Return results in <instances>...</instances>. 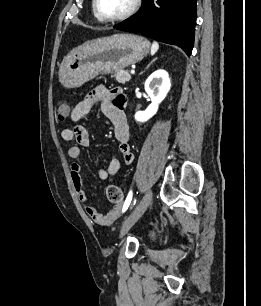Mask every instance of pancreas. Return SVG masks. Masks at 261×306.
Returning a JSON list of instances; mask_svg holds the SVG:
<instances>
[{"label": "pancreas", "instance_id": "1", "mask_svg": "<svg viewBox=\"0 0 261 306\" xmlns=\"http://www.w3.org/2000/svg\"><path fill=\"white\" fill-rule=\"evenodd\" d=\"M112 77H115L117 82L121 84H125L131 79L130 74L128 73V71H125V70L115 71Z\"/></svg>", "mask_w": 261, "mask_h": 306}]
</instances>
